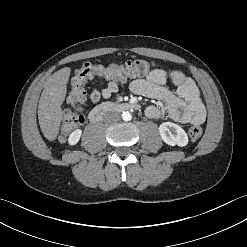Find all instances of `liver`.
I'll use <instances>...</instances> for the list:
<instances>
[{
    "mask_svg": "<svg viewBox=\"0 0 247 247\" xmlns=\"http://www.w3.org/2000/svg\"><path fill=\"white\" fill-rule=\"evenodd\" d=\"M69 76L70 68L66 67L55 72L44 83L38 104V120L44 137L49 141L55 140L59 133L61 105L65 100Z\"/></svg>",
    "mask_w": 247,
    "mask_h": 247,
    "instance_id": "obj_1",
    "label": "liver"
}]
</instances>
